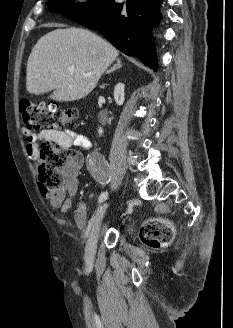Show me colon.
Returning <instances> with one entry per match:
<instances>
[{"label":"colon","instance_id":"colon-1","mask_svg":"<svg viewBox=\"0 0 233 328\" xmlns=\"http://www.w3.org/2000/svg\"><path fill=\"white\" fill-rule=\"evenodd\" d=\"M20 112L29 129L60 130L78 119L74 109L62 110L54 104L35 103L29 99L20 101ZM80 154L76 150L63 149L55 141L45 140L39 148L37 167L40 187L54 191L75 178ZM140 238L152 248L168 245L173 239V228L165 221L153 219L140 229Z\"/></svg>","mask_w":233,"mask_h":328}]
</instances>
